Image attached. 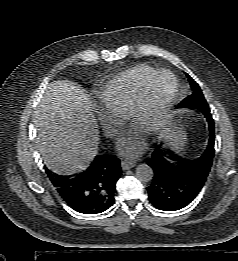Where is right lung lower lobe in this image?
I'll return each instance as SVG.
<instances>
[{"instance_id":"1","label":"right lung lower lobe","mask_w":238,"mask_h":261,"mask_svg":"<svg viewBox=\"0 0 238 261\" xmlns=\"http://www.w3.org/2000/svg\"><path fill=\"white\" fill-rule=\"evenodd\" d=\"M61 197L75 211L97 214L114 202L116 182L121 175L120 160L114 155H98L83 172L57 175L46 169Z\"/></svg>"}]
</instances>
